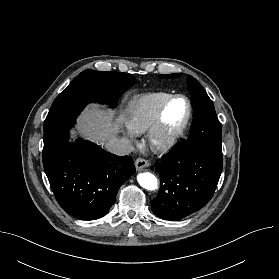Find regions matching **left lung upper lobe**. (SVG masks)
<instances>
[{
	"label": "left lung upper lobe",
	"mask_w": 279,
	"mask_h": 279,
	"mask_svg": "<svg viewBox=\"0 0 279 279\" xmlns=\"http://www.w3.org/2000/svg\"><path fill=\"white\" fill-rule=\"evenodd\" d=\"M162 78H177L179 74L161 75ZM192 93L193 122L187 142L203 146L222 155V130L212 100L202 85L191 75L187 78Z\"/></svg>",
	"instance_id": "obj_1"
}]
</instances>
